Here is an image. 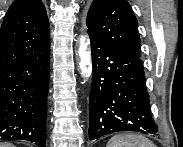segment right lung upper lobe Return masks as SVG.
Segmentation results:
<instances>
[{
    "label": "right lung upper lobe",
    "mask_w": 183,
    "mask_h": 147,
    "mask_svg": "<svg viewBox=\"0 0 183 147\" xmlns=\"http://www.w3.org/2000/svg\"><path fill=\"white\" fill-rule=\"evenodd\" d=\"M49 48V22L41 0H16L1 26L0 70L36 58Z\"/></svg>",
    "instance_id": "obj_1"
}]
</instances>
